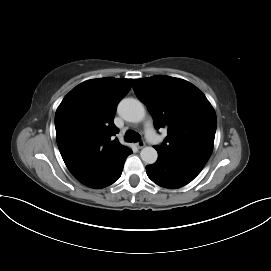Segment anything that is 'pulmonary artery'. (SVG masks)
I'll list each match as a JSON object with an SVG mask.
<instances>
[{
    "label": "pulmonary artery",
    "mask_w": 271,
    "mask_h": 271,
    "mask_svg": "<svg viewBox=\"0 0 271 271\" xmlns=\"http://www.w3.org/2000/svg\"><path fill=\"white\" fill-rule=\"evenodd\" d=\"M146 135H147V137L150 139V140H152V141H157V135H156V133H155V131H154V129H153V127H152V125L151 124H148L147 126H146Z\"/></svg>",
    "instance_id": "pulmonary-artery-1"
}]
</instances>
